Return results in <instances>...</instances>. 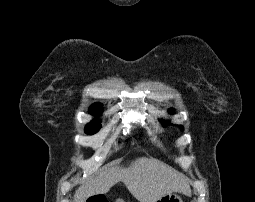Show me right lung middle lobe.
Listing matches in <instances>:
<instances>
[{
  "label": "right lung middle lobe",
  "mask_w": 255,
  "mask_h": 202,
  "mask_svg": "<svg viewBox=\"0 0 255 202\" xmlns=\"http://www.w3.org/2000/svg\"><path fill=\"white\" fill-rule=\"evenodd\" d=\"M101 128L100 121H92L91 123H88L85 128V132L87 134H94Z\"/></svg>",
  "instance_id": "dd1d6c3e"
}]
</instances>
